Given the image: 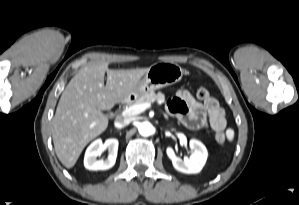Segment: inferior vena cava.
<instances>
[{"label":"inferior vena cava","instance_id":"1","mask_svg":"<svg viewBox=\"0 0 299 205\" xmlns=\"http://www.w3.org/2000/svg\"><path fill=\"white\" fill-rule=\"evenodd\" d=\"M129 124V120L128 119H118L115 121L114 125L116 128H123L124 126Z\"/></svg>","mask_w":299,"mask_h":205}]
</instances>
